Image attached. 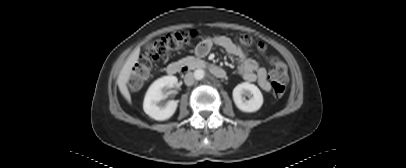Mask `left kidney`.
Segmentation results:
<instances>
[{"instance_id":"1","label":"left kidney","mask_w":406,"mask_h":168,"mask_svg":"<svg viewBox=\"0 0 406 168\" xmlns=\"http://www.w3.org/2000/svg\"><path fill=\"white\" fill-rule=\"evenodd\" d=\"M243 96L250 99L245 100ZM233 100L237 108L243 112H256L263 104V96L259 88L248 82L238 84L233 90Z\"/></svg>"}]
</instances>
